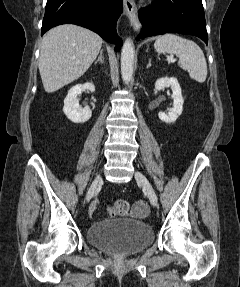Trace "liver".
<instances>
[{
  "label": "liver",
  "mask_w": 240,
  "mask_h": 287,
  "mask_svg": "<svg viewBox=\"0 0 240 287\" xmlns=\"http://www.w3.org/2000/svg\"><path fill=\"white\" fill-rule=\"evenodd\" d=\"M102 46V38L77 25H60L41 41L39 71L43 87L52 93L81 77Z\"/></svg>",
  "instance_id": "liver-1"
}]
</instances>
